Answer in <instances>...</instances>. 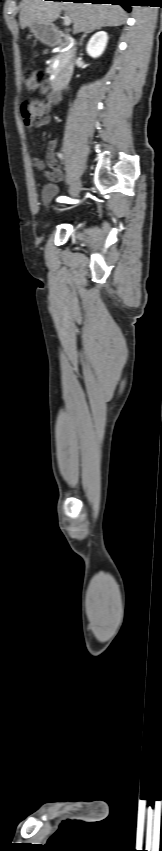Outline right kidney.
I'll use <instances>...</instances> for the list:
<instances>
[{"mask_svg": "<svg viewBox=\"0 0 162 851\" xmlns=\"http://www.w3.org/2000/svg\"><path fill=\"white\" fill-rule=\"evenodd\" d=\"M107 41H108V35H107L106 32H104V31L97 32L96 34H94L91 37V39L89 40V42L86 46L87 54L89 56L93 57V58H97L105 50V47L107 45Z\"/></svg>", "mask_w": 162, "mask_h": 851, "instance_id": "right-kidney-1", "label": "right kidney"}]
</instances>
